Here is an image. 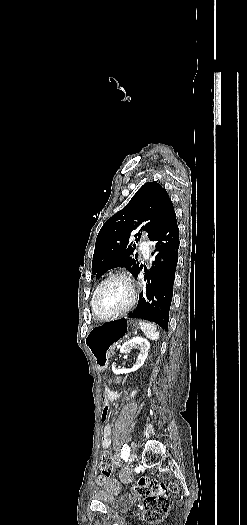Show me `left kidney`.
Wrapping results in <instances>:
<instances>
[{
    "label": "left kidney",
    "instance_id": "5707ae66",
    "mask_svg": "<svg viewBox=\"0 0 247 525\" xmlns=\"http://www.w3.org/2000/svg\"><path fill=\"white\" fill-rule=\"evenodd\" d=\"M136 347H138L139 353L137 357V363L134 365L132 371H137V369H140V367L144 365L148 357L150 343H148L147 339H142V337H133V339H130V341L124 343L120 349V353H130L131 349H136ZM112 369L114 373H118L119 371V369H115V367H112Z\"/></svg>",
    "mask_w": 247,
    "mask_h": 525
}]
</instances>
